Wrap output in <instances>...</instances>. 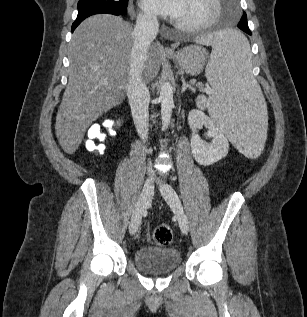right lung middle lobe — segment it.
<instances>
[{"instance_id": "obj_1", "label": "right lung middle lobe", "mask_w": 307, "mask_h": 317, "mask_svg": "<svg viewBox=\"0 0 307 317\" xmlns=\"http://www.w3.org/2000/svg\"><path fill=\"white\" fill-rule=\"evenodd\" d=\"M127 5L128 0H79L78 11L95 7L123 11L127 8Z\"/></svg>"}]
</instances>
